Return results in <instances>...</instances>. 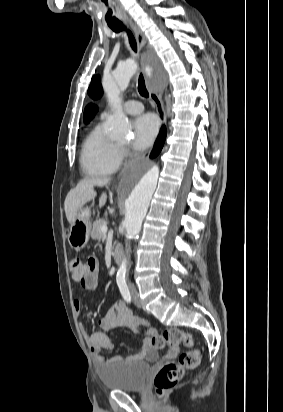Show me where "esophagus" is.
<instances>
[{
  "label": "esophagus",
  "instance_id": "obj_1",
  "mask_svg": "<svg viewBox=\"0 0 283 412\" xmlns=\"http://www.w3.org/2000/svg\"><path fill=\"white\" fill-rule=\"evenodd\" d=\"M128 23L135 33L138 49L141 51L146 44V38L143 32L132 21H128ZM141 64L142 67H144L145 59L143 57L141 58ZM146 86L149 91L151 100L156 107V111L158 113L161 124H166V112L162 101V88L160 86L154 87L149 80H146Z\"/></svg>",
  "mask_w": 283,
  "mask_h": 412
}]
</instances>
